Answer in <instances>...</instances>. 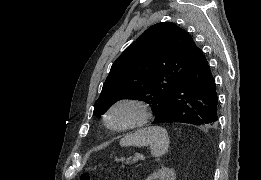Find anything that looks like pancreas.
Wrapping results in <instances>:
<instances>
[{
	"instance_id": "pancreas-1",
	"label": "pancreas",
	"mask_w": 261,
	"mask_h": 180,
	"mask_svg": "<svg viewBox=\"0 0 261 180\" xmlns=\"http://www.w3.org/2000/svg\"><path fill=\"white\" fill-rule=\"evenodd\" d=\"M137 162H134L133 159L127 158L126 162H122V167H130L131 164H136Z\"/></svg>"
}]
</instances>
